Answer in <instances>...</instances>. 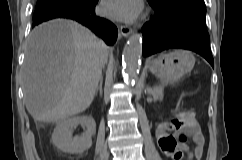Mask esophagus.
<instances>
[{"label":"esophagus","instance_id":"34e87169","mask_svg":"<svg viewBox=\"0 0 242 160\" xmlns=\"http://www.w3.org/2000/svg\"><path fill=\"white\" fill-rule=\"evenodd\" d=\"M119 31H120V34L124 37L130 36V34L132 33V29L125 25H121L119 27Z\"/></svg>","mask_w":242,"mask_h":160}]
</instances>
